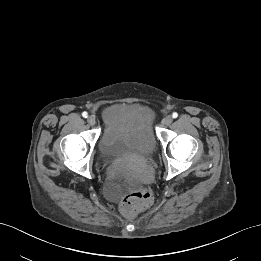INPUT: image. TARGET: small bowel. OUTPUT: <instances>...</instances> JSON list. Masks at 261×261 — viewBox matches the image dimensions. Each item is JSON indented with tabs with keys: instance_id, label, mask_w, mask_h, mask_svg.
Returning a JSON list of instances; mask_svg holds the SVG:
<instances>
[{
	"instance_id": "c3829d8e",
	"label": "small bowel",
	"mask_w": 261,
	"mask_h": 261,
	"mask_svg": "<svg viewBox=\"0 0 261 261\" xmlns=\"http://www.w3.org/2000/svg\"><path fill=\"white\" fill-rule=\"evenodd\" d=\"M104 121L107 131L114 132L126 127L138 128L144 121L150 122L151 113L144 108L130 110L123 104H113L104 109Z\"/></svg>"
}]
</instances>
